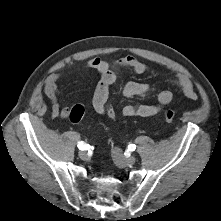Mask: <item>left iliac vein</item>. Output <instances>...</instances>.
Returning <instances> with one entry per match:
<instances>
[{"instance_id":"left-iliac-vein-1","label":"left iliac vein","mask_w":221,"mask_h":221,"mask_svg":"<svg viewBox=\"0 0 221 221\" xmlns=\"http://www.w3.org/2000/svg\"><path fill=\"white\" fill-rule=\"evenodd\" d=\"M112 156H113L115 163L120 167L133 165L136 162V158L134 156L125 157L119 148H115L113 150Z\"/></svg>"}]
</instances>
